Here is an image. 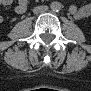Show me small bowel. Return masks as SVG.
Segmentation results:
<instances>
[{
    "label": "small bowel",
    "instance_id": "c3829d8e",
    "mask_svg": "<svg viewBox=\"0 0 91 91\" xmlns=\"http://www.w3.org/2000/svg\"><path fill=\"white\" fill-rule=\"evenodd\" d=\"M2 3L4 5H10L11 4V1L10 0H3ZM26 8H27V2L25 0H20L18 1V3L16 4L15 6V11L19 14L21 13H24L26 11ZM79 10H77L76 8H72V13L74 15H77L79 14Z\"/></svg>",
    "mask_w": 91,
    "mask_h": 91
}]
</instances>
